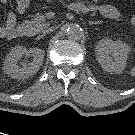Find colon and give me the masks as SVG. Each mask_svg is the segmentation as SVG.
I'll list each match as a JSON object with an SVG mask.
<instances>
[{
    "label": "colon",
    "mask_w": 135,
    "mask_h": 135,
    "mask_svg": "<svg viewBox=\"0 0 135 135\" xmlns=\"http://www.w3.org/2000/svg\"><path fill=\"white\" fill-rule=\"evenodd\" d=\"M131 24L133 27H135V15L131 17Z\"/></svg>",
    "instance_id": "obj_1"
}]
</instances>
